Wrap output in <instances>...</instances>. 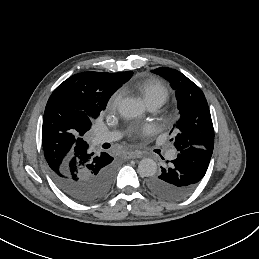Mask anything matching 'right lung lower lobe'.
<instances>
[{
  "instance_id": "98d812e1",
  "label": "right lung lower lobe",
  "mask_w": 259,
  "mask_h": 259,
  "mask_svg": "<svg viewBox=\"0 0 259 259\" xmlns=\"http://www.w3.org/2000/svg\"><path fill=\"white\" fill-rule=\"evenodd\" d=\"M112 161L109 154L96 155L88 145L60 169L50 170V174L68 197L79 203H92L102 199L111 188L115 174Z\"/></svg>"
}]
</instances>
